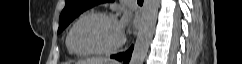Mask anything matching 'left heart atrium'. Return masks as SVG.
<instances>
[{"mask_svg":"<svg viewBox=\"0 0 242 64\" xmlns=\"http://www.w3.org/2000/svg\"><path fill=\"white\" fill-rule=\"evenodd\" d=\"M128 24V19L126 16H124L121 21L118 23V27L120 29V31L123 33L124 29L126 28Z\"/></svg>","mask_w":242,"mask_h":64,"instance_id":"obj_1","label":"left heart atrium"}]
</instances>
